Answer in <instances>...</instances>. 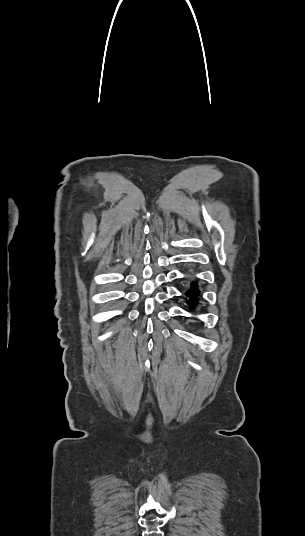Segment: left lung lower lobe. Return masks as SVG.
<instances>
[{
  "mask_svg": "<svg viewBox=\"0 0 305 536\" xmlns=\"http://www.w3.org/2000/svg\"><path fill=\"white\" fill-rule=\"evenodd\" d=\"M198 285L193 281L191 283V289L185 292V295L189 298L188 302L190 305L195 306L198 301V295L200 291L198 290Z\"/></svg>",
  "mask_w": 305,
  "mask_h": 536,
  "instance_id": "left-lung-lower-lobe-1",
  "label": "left lung lower lobe"
}]
</instances>
